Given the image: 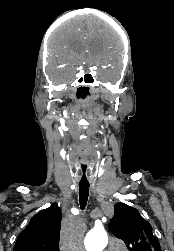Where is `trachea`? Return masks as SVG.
<instances>
[{"instance_id":"3493384b","label":"trachea","mask_w":174,"mask_h":251,"mask_svg":"<svg viewBox=\"0 0 174 251\" xmlns=\"http://www.w3.org/2000/svg\"><path fill=\"white\" fill-rule=\"evenodd\" d=\"M89 183H79V202L82 210L85 209L89 196Z\"/></svg>"}]
</instances>
